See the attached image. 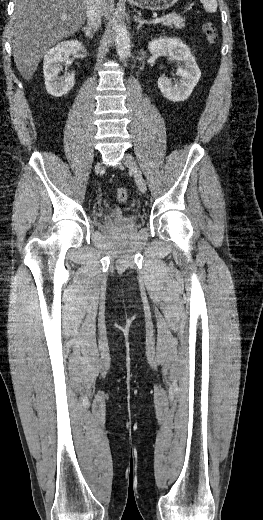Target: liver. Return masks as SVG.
<instances>
[{
    "label": "liver",
    "instance_id": "1",
    "mask_svg": "<svg viewBox=\"0 0 263 520\" xmlns=\"http://www.w3.org/2000/svg\"><path fill=\"white\" fill-rule=\"evenodd\" d=\"M14 4L10 24L14 62L20 74L30 80L49 49L82 26L87 4L86 0H15ZM113 7L114 0H103L106 18Z\"/></svg>",
    "mask_w": 263,
    "mask_h": 520
}]
</instances>
